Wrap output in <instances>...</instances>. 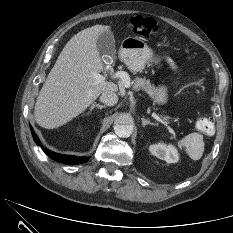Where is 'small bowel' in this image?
<instances>
[{
  "instance_id": "small-bowel-1",
  "label": "small bowel",
  "mask_w": 233,
  "mask_h": 233,
  "mask_svg": "<svg viewBox=\"0 0 233 233\" xmlns=\"http://www.w3.org/2000/svg\"><path fill=\"white\" fill-rule=\"evenodd\" d=\"M168 63L173 66V62L171 60L168 61Z\"/></svg>"
}]
</instances>
